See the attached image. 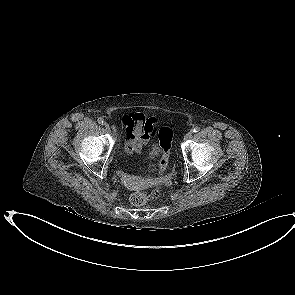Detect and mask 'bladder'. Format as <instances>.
Masks as SVG:
<instances>
[{
	"instance_id": "31cf9c89",
	"label": "bladder",
	"mask_w": 295,
	"mask_h": 295,
	"mask_svg": "<svg viewBox=\"0 0 295 295\" xmlns=\"http://www.w3.org/2000/svg\"><path fill=\"white\" fill-rule=\"evenodd\" d=\"M158 152H159V148H158V146L154 145V146L150 149L149 154H148V157H149V158L154 157V156H156V155L158 154Z\"/></svg>"
}]
</instances>
